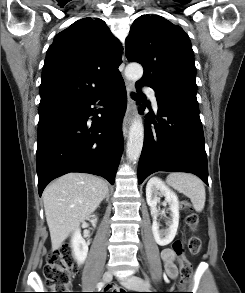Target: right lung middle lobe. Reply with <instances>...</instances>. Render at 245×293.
Here are the masks:
<instances>
[{"label":"right lung middle lobe","instance_id":"1","mask_svg":"<svg viewBox=\"0 0 245 293\" xmlns=\"http://www.w3.org/2000/svg\"><path fill=\"white\" fill-rule=\"evenodd\" d=\"M69 107L70 105H58V106L39 108V124L44 123L50 118L62 113Z\"/></svg>","mask_w":245,"mask_h":293}]
</instances>
